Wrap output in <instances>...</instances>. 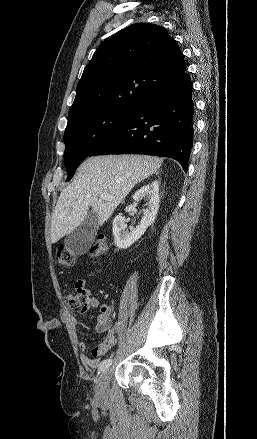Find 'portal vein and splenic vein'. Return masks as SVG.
<instances>
[{
  "label": "portal vein and splenic vein",
  "mask_w": 257,
  "mask_h": 439,
  "mask_svg": "<svg viewBox=\"0 0 257 439\" xmlns=\"http://www.w3.org/2000/svg\"><path fill=\"white\" fill-rule=\"evenodd\" d=\"M100 199H102V200H112L113 197L110 196L109 194L103 193V194H100Z\"/></svg>",
  "instance_id": "obj_1"
}]
</instances>
